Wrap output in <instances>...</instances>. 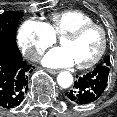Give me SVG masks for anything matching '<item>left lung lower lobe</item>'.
<instances>
[{
    "label": "left lung lower lobe",
    "instance_id": "left-lung-lower-lobe-1",
    "mask_svg": "<svg viewBox=\"0 0 117 117\" xmlns=\"http://www.w3.org/2000/svg\"><path fill=\"white\" fill-rule=\"evenodd\" d=\"M109 76L110 67L100 64L92 72L79 77L65 95L69 101L80 105L94 102L104 93Z\"/></svg>",
    "mask_w": 117,
    "mask_h": 117
}]
</instances>
